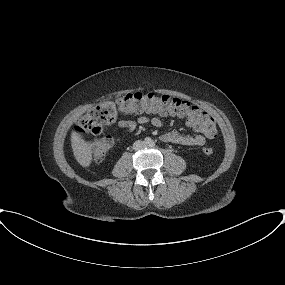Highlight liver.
<instances>
[{"label":"liver","mask_w":285,"mask_h":285,"mask_svg":"<svg viewBox=\"0 0 285 285\" xmlns=\"http://www.w3.org/2000/svg\"><path fill=\"white\" fill-rule=\"evenodd\" d=\"M71 146L77 162L82 167H88L92 161V151L88 144L76 133L71 134Z\"/></svg>","instance_id":"6515ba94"}]
</instances>
